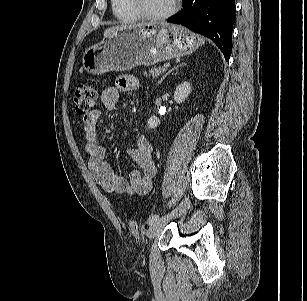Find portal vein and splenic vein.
Segmentation results:
<instances>
[{
  "instance_id": "1",
  "label": "portal vein and splenic vein",
  "mask_w": 307,
  "mask_h": 301,
  "mask_svg": "<svg viewBox=\"0 0 307 301\" xmlns=\"http://www.w3.org/2000/svg\"><path fill=\"white\" fill-rule=\"evenodd\" d=\"M170 67V64L169 63H166L165 65H164V68H169Z\"/></svg>"
}]
</instances>
